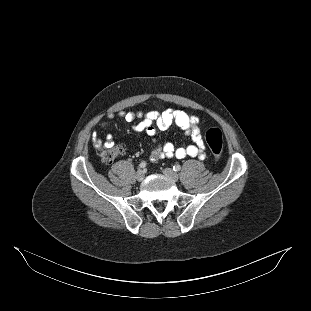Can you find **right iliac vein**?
<instances>
[{
    "mask_svg": "<svg viewBox=\"0 0 311 311\" xmlns=\"http://www.w3.org/2000/svg\"><path fill=\"white\" fill-rule=\"evenodd\" d=\"M137 181L141 182L144 179V172L142 170H138L136 172Z\"/></svg>",
    "mask_w": 311,
    "mask_h": 311,
    "instance_id": "obj_1",
    "label": "right iliac vein"
}]
</instances>
